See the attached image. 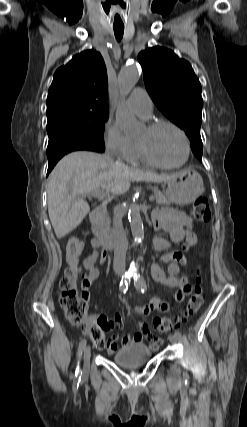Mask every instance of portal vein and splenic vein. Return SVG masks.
Wrapping results in <instances>:
<instances>
[{"label": "portal vein and splenic vein", "mask_w": 247, "mask_h": 427, "mask_svg": "<svg viewBox=\"0 0 247 427\" xmlns=\"http://www.w3.org/2000/svg\"><path fill=\"white\" fill-rule=\"evenodd\" d=\"M87 194H84V196H86ZM92 195L93 196H97V197H101V196H104L105 195V193L103 192V191H101V190H96L95 192H93L92 193ZM154 195H150V197H149V200L150 201H153L154 200Z\"/></svg>", "instance_id": "obj_1"}]
</instances>
